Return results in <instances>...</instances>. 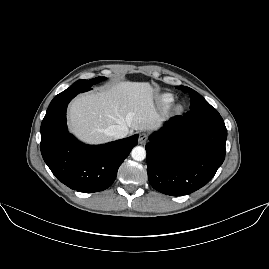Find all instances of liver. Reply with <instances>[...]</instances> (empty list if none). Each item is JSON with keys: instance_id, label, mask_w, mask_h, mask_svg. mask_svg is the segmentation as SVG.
I'll return each mask as SVG.
<instances>
[{"instance_id": "6515ba94", "label": "liver", "mask_w": 269, "mask_h": 269, "mask_svg": "<svg viewBox=\"0 0 269 269\" xmlns=\"http://www.w3.org/2000/svg\"><path fill=\"white\" fill-rule=\"evenodd\" d=\"M153 88L148 82H119L102 92L76 97L69 106V129L90 144L111 141L105 129L126 125L133 130L156 129L162 118L157 113Z\"/></svg>"}]
</instances>
